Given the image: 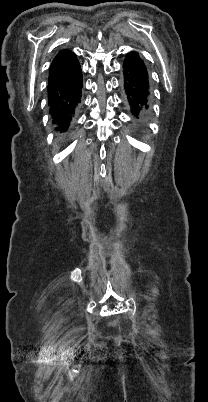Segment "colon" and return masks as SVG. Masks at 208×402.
<instances>
[{"label": "colon", "mask_w": 208, "mask_h": 402, "mask_svg": "<svg viewBox=\"0 0 208 402\" xmlns=\"http://www.w3.org/2000/svg\"><path fill=\"white\" fill-rule=\"evenodd\" d=\"M108 325H109L110 327H115V326L117 325V320H116L115 318H110V319L108 320Z\"/></svg>", "instance_id": "obj_1"}]
</instances>
